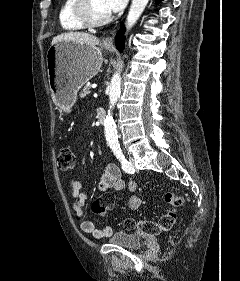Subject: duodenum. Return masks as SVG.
<instances>
[{
  "instance_id": "410a0bca",
  "label": "duodenum",
  "mask_w": 240,
  "mask_h": 281,
  "mask_svg": "<svg viewBox=\"0 0 240 281\" xmlns=\"http://www.w3.org/2000/svg\"><path fill=\"white\" fill-rule=\"evenodd\" d=\"M96 115H97V118H98L99 122H100L101 124H103V123L105 122V119H106V112H105V110H103V109H98V110L96 111Z\"/></svg>"
}]
</instances>
